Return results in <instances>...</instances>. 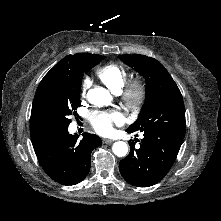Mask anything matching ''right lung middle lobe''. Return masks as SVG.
<instances>
[{
    "instance_id": "1",
    "label": "right lung middle lobe",
    "mask_w": 221,
    "mask_h": 221,
    "mask_svg": "<svg viewBox=\"0 0 221 221\" xmlns=\"http://www.w3.org/2000/svg\"><path fill=\"white\" fill-rule=\"evenodd\" d=\"M105 57L85 54L77 62L74 77L59 83L44 85L36 100V116L39 124L49 133L67 129L80 106V88L83 73L100 63Z\"/></svg>"
}]
</instances>
